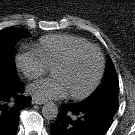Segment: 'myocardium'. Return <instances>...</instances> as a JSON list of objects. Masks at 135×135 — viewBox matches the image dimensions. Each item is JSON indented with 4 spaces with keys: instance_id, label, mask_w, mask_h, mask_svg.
<instances>
[{
    "instance_id": "obj_1",
    "label": "myocardium",
    "mask_w": 135,
    "mask_h": 135,
    "mask_svg": "<svg viewBox=\"0 0 135 135\" xmlns=\"http://www.w3.org/2000/svg\"><path fill=\"white\" fill-rule=\"evenodd\" d=\"M85 51H93L97 54L98 59H99L98 71H97V74H96L94 80L92 81V83L89 85V87L86 90H84L83 92L78 93V94L69 93L70 98L75 99V100H81V99L87 98L98 87V85L102 79V76L104 73V68H105L104 55L101 52V50L93 45L81 46V47L74 48L66 56H64L62 59L58 60L51 68L53 70L54 68L68 65L70 62H72V60L78 54L85 52Z\"/></svg>"
}]
</instances>
